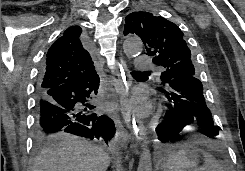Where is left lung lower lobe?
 Returning <instances> with one entry per match:
<instances>
[{"mask_svg": "<svg viewBox=\"0 0 245 171\" xmlns=\"http://www.w3.org/2000/svg\"><path fill=\"white\" fill-rule=\"evenodd\" d=\"M160 89L170 102L163 121L156 128L160 141H177L179 133L189 125L198 126L199 132L209 138L218 135L219 127L214 124L204 98L203 85L197 77L180 75Z\"/></svg>", "mask_w": 245, "mask_h": 171, "instance_id": "1", "label": "left lung lower lobe"}]
</instances>
